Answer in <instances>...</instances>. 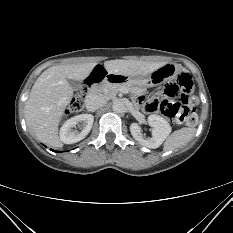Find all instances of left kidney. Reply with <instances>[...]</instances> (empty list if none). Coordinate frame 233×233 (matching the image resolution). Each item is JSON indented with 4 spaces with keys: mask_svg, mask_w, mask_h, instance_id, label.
<instances>
[{
    "mask_svg": "<svg viewBox=\"0 0 233 233\" xmlns=\"http://www.w3.org/2000/svg\"><path fill=\"white\" fill-rule=\"evenodd\" d=\"M148 123L150 126L153 127L151 138L143 137L141 133V128L137 123H132L130 125V132L133 138L141 145L151 149H155L158 148L169 136V134L171 133V126L163 117L158 115H150L148 117Z\"/></svg>",
    "mask_w": 233,
    "mask_h": 233,
    "instance_id": "5707ae66",
    "label": "left kidney"
}]
</instances>
